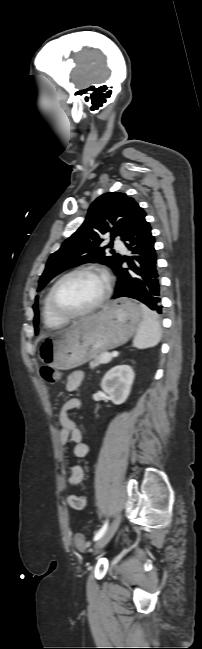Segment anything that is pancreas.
<instances>
[{"label":"pancreas","mask_w":202,"mask_h":649,"mask_svg":"<svg viewBox=\"0 0 202 649\" xmlns=\"http://www.w3.org/2000/svg\"><path fill=\"white\" fill-rule=\"evenodd\" d=\"M102 354H103V353H99V354L96 355V356L93 358V360L90 362L89 366H90L91 369H94V368H96L97 366H99L100 364H103V362H102V360H101V355H102Z\"/></svg>","instance_id":"cf45deb5"}]
</instances>
